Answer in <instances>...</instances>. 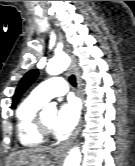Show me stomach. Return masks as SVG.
<instances>
[{
  "instance_id": "0dacf381",
  "label": "stomach",
  "mask_w": 135,
  "mask_h": 166,
  "mask_svg": "<svg viewBox=\"0 0 135 166\" xmlns=\"http://www.w3.org/2000/svg\"><path fill=\"white\" fill-rule=\"evenodd\" d=\"M7 166H41L40 164H34L32 161L28 165H23L22 157L20 155H14L8 160Z\"/></svg>"
}]
</instances>
